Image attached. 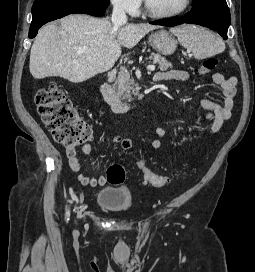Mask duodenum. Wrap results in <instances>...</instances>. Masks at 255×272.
<instances>
[{
  "instance_id": "duodenum-1",
  "label": "duodenum",
  "mask_w": 255,
  "mask_h": 272,
  "mask_svg": "<svg viewBox=\"0 0 255 272\" xmlns=\"http://www.w3.org/2000/svg\"><path fill=\"white\" fill-rule=\"evenodd\" d=\"M99 91L105 102L115 113L123 114L136 107L134 103L123 102L118 95L111 90L107 83L100 84Z\"/></svg>"
}]
</instances>
